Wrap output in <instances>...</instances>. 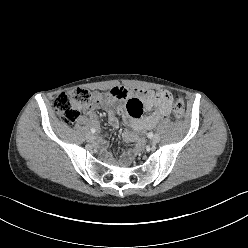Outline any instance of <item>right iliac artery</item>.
<instances>
[{"label":"right iliac artery","mask_w":248,"mask_h":248,"mask_svg":"<svg viewBox=\"0 0 248 248\" xmlns=\"http://www.w3.org/2000/svg\"><path fill=\"white\" fill-rule=\"evenodd\" d=\"M96 130L94 128L91 129V133L94 134Z\"/></svg>","instance_id":"right-iliac-artery-1"}]
</instances>
